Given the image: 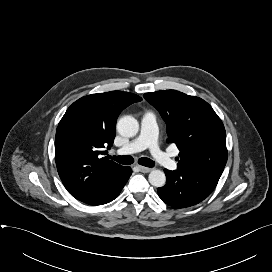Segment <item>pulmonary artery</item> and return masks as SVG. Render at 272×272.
<instances>
[{"instance_id":"obj_1","label":"pulmonary artery","mask_w":272,"mask_h":272,"mask_svg":"<svg viewBox=\"0 0 272 272\" xmlns=\"http://www.w3.org/2000/svg\"><path fill=\"white\" fill-rule=\"evenodd\" d=\"M144 149H149L154 159L169 170H176L177 163L158 145V126L156 117L152 112H146L141 118V129L139 135L121 147L119 154H132Z\"/></svg>"}]
</instances>
